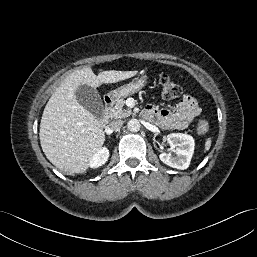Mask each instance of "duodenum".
<instances>
[{"mask_svg":"<svg viewBox=\"0 0 257 257\" xmlns=\"http://www.w3.org/2000/svg\"><path fill=\"white\" fill-rule=\"evenodd\" d=\"M104 105H105V112L100 118V125L102 127H105L108 125V120H109V110L111 106L113 105V99L109 96H106L104 98Z\"/></svg>","mask_w":257,"mask_h":257,"instance_id":"410a0bca","label":"duodenum"}]
</instances>
